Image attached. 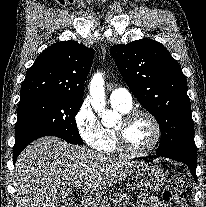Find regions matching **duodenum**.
<instances>
[{
    "instance_id": "1",
    "label": "duodenum",
    "mask_w": 206,
    "mask_h": 207,
    "mask_svg": "<svg viewBox=\"0 0 206 207\" xmlns=\"http://www.w3.org/2000/svg\"><path fill=\"white\" fill-rule=\"evenodd\" d=\"M75 204L76 207H87V201L84 198L75 201Z\"/></svg>"
}]
</instances>
